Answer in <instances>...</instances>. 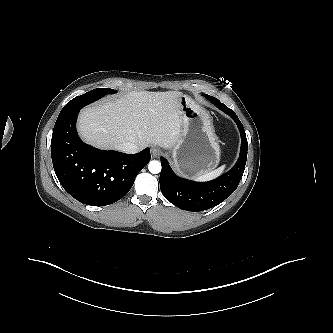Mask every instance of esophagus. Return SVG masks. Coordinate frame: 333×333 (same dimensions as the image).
Returning a JSON list of instances; mask_svg holds the SVG:
<instances>
[{"label": "esophagus", "instance_id": "obj_1", "mask_svg": "<svg viewBox=\"0 0 333 333\" xmlns=\"http://www.w3.org/2000/svg\"><path fill=\"white\" fill-rule=\"evenodd\" d=\"M151 155H152V157H158V156H160L161 155V151H160V149H158V148H156V147H152L151 148Z\"/></svg>", "mask_w": 333, "mask_h": 333}]
</instances>
